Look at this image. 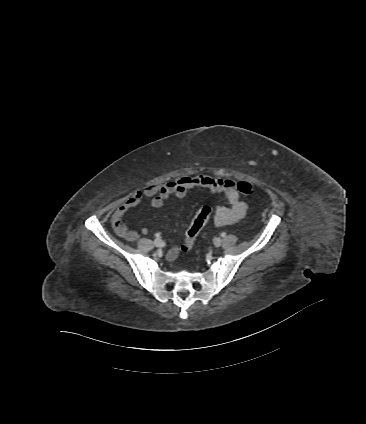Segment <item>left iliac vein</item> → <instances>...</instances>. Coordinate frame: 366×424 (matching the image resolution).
<instances>
[{"label":"left iliac vein","instance_id":"obj_1","mask_svg":"<svg viewBox=\"0 0 366 424\" xmlns=\"http://www.w3.org/2000/svg\"><path fill=\"white\" fill-rule=\"evenodd\" d=\"M221 244H222V239L220 237H218L214 240V245L216 247H219Z\"/></svg>","mask_w":366,"mask_h":424}]
</instances>
